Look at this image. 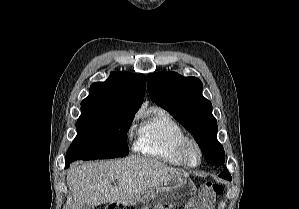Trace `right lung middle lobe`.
<instances>
[{
	"instance_id": "dd1d6c3e",
	"label": "right lung middle lobe",
	"mask_w": 299,
	"mask_h": 209,
	"mask_svg": "<svg viewBox=\"0 0 299 209\" xmlns=\"http://www.w3.org/2000/svg\"><path fill=\"white\" fill-rule=\"evenodd\" d=\"M136 112L81 110L77 136L68 148L66 161L109 159L129 153L126 134Z\"/></svg>"
}]
</instances>
